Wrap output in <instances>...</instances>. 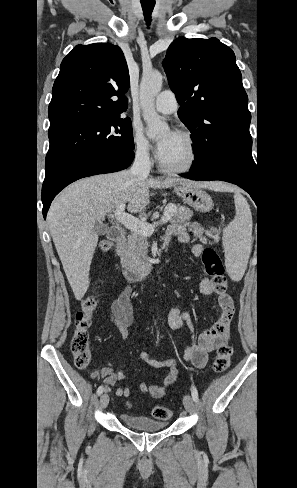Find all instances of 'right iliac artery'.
Returning a JSON list of instances; mask_svg holds the SVG:
<instances>
[{"mask_svg":"<svg viewBox=\"0 0 297 488\" xmlns=\"http://www.w3.org/2000/svg\"><path fill=\"white\" fill-rule=\"evenodd\" d=\"M104 391V388L103 386H100L98 389H97V395H101Z\"/></svg>","mask_w":297,"mask_h":488,"instance_id":"obj_1","label":"right iliac artery"}]
</instances>
